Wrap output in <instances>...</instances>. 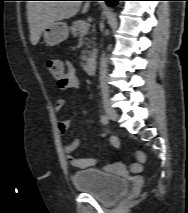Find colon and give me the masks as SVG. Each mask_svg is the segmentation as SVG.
<instances>
[{"label":"colon","mask_w":188,"mask_h":213,"mask_svg":"<svg viewBox=\"0 0 188 213\" xmlns=\"http://www.w3.org/2000/svg\"><path fill=\"white\" fill-rule=\"evenodd\" d=\"M47 67L55 78H60L63 75L61 61L56 58H51L47 61ZM136 162L131 166L133 173H138L142 170V163L145 161V153L141 150L135 154Z\"/></svg>","instance_id":"5ec220e1"}]
</instances>
